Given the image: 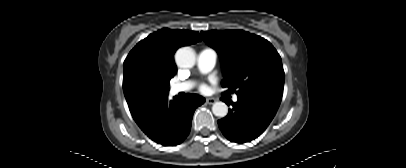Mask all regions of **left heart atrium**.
<instances>
[{"mask_svg":"<svg viewBox=\"0 0 406 168\" xmlns=\"http://www.w3.org/2000/svg\"><path fill=\"white\" fill-rule=\"evenodd\" d=\"M206 89H207V88H206V86H205L204 84L200 86V90H201V91L204 92V91H206Z\"/></svg>","mask_w":406,"mask_h":168,"instance_id":"39dd6f15","label":"left heart atrium"}]
</instances>
